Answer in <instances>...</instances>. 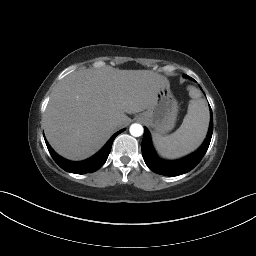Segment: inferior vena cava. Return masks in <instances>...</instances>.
Here are the masks:
<instances>
[{
    "instance_id": "inferior-vena-cava-1",
    "label": "inferior vena cava",
    "mask_w": 256,
    "mask_h": 256,
    "mask_svg": "<svg viewBox=\"0 0 256 256\" xmlns=\"http://www.w3.org/2000/svg\"><path fill=\"white\" fill-rule=\"evenodd\" d=\"M113 128L115 130H120L122 128V122L120 120H115L113 122Z\"/></svg>"
}]
</instances>
